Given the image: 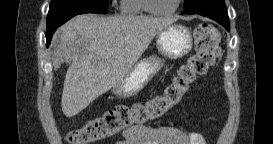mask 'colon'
<instances>
[{
	"label": "colon",
	"instance_id": "5ec220e1",
	"mask_svg": "<svg viewBox=\"0 0 273 144\" xmlns=\"http://www.w3.org/2000/svg\"><path fill=\"white\" fill-rule=\"evenodd\" d=\"M194 39L195 53L180 66L159 94L131 105H117L101 117L89 120L68 135L69 143L86 144L110 138L158 119L179 104L190 86L208 72L220 54V35L212 24L198 25Z\"/></svg>",
	"mask_w": 273,
	"mask_h": 144
}]
</instances>
